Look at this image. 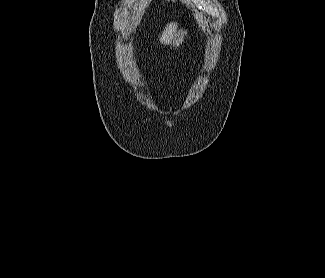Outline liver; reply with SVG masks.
<instances>
[{
  "instance_id": "liver-1",
  "label": "liver",
  "mask_w": 325,
  "mask_h": 278,
  "mask_svg": "<svg viewBox=\"0 0 325 278\" xmlns=\"http://www.w3.org/2000/svg\"><path fill=\"white\" fill-rule=\"evenodd\" d=\"M176 28H177V23L168 24L165 27L162 35L160 36V42L165 45L169 44L176 31Z\"/></svg>"
}]
</instances>
